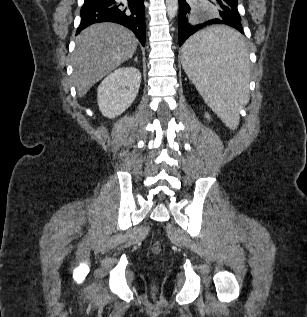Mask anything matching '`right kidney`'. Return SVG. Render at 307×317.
<instances>
[{
    "label": "right kidney",
    "instance_id": "ca27d5eb",
    "mask_svg": "<svg viewBox=\"0 0 307 317\" xmlns=\"http://www.w3.org/2000/svg\"><path fill=\"white\" fill-rule=\"evenodd\" d=\"M141 73L135 67H122L109 74L97 89L98 106L103 116L115 118L135 100Z\"/></svg>",
    "mask_w": 307,
    "mask_h": 317
}]
</instances>
